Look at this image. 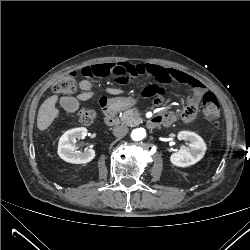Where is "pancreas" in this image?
<instances>
[{"instance_id":"obj_1","label":"pancreas","mask_w":250,"mask_h":250,"mask_svg":"<svg viewBox=\"0 0 250 250\" xmlns=\"http://www.w3.org/2000/svg\"><path fill=\"white\" fill-rule=\"evenodd\" d=\"M139 112L137 109H129L126 113L122 116L121 121L127 125L137 124L139 121Z\"/></svg>"}]
</instances>
